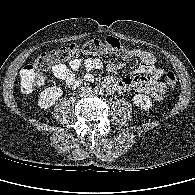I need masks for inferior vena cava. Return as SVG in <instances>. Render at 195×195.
<instances>
[{
  "mask_svg": "<svg viewBox=\"0 0 195 195\" xmlns=\"http://www.w3.org/2000/svg\"><path fill=\"white\" fill-rule=\"evenodd\" d=\"M80 93H81V95L82 96H88V95H90V94H92V90H91V88H82L81 90H80Z\"/></svg>",
  "mask_w": 195,
  "mask_h": 195,
  "instance_id": "inferior-vena-cava-1",
  "label": "inferior vena cava"
}]
</instances>
